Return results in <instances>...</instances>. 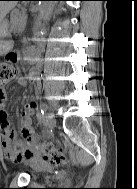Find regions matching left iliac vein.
<instances>
[{"instance_id": "obj_1", "label": "left iliac vein", "mask_w": 137, "mask_h": 189, "mask_svg": "<svg viewBox=\"0 0 137 189\" xmlns=\"http://www.w3.org/2000/svg\"><path fill=\"white\" fill-rule=\"evenodd\" d=\"M56 126V120L54 118V114L49 112L47 114V127L48 131L52 130Z\"/></svg>"}]
</instances>
